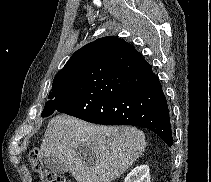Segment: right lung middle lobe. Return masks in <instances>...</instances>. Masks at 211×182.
Segmentation results:
<instances>
[{"instance_id":"right-lung-middle-lobe-1","label":"right lung middle lobe","mask_w":211,"mask_h":182,"mask_svg":"<svg viewBox=\"0 0 211 182\" xmlns=\"http://www.w3.org/2000/svg\"><path fill=\"white\" fill-rule=\"evenodd\" d=\"M84 64L69 68H63L57 73L53 80L49 100L45 103L42 117H47L55 112V102L69 96L77 87L79 80L85 70Z\"/></svg>"}]
</instances>
